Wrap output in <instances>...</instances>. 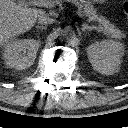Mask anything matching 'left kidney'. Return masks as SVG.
Wrapping results in <instances>:
<instances>
[{"mask_svg": "<svg viewBox=\"0 0 128 128\" xmlns=\"http://www.w3.org/2000/svg\"><path fill=\"white\" fill-rule=\"evenodd\" d=\"M124 52V44L114 40L96 42L87 48L93 69L102 75H112L119 71Z\"/></svg>", "mask_w": 128, "mask_h": 128, "instance_id": "left-kidney-1", "label": "left kidney"}]
</instances>
